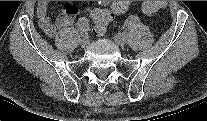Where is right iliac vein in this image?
<instances>
[{
    "instance_id": "right-iliac-vein-1",
    "label": "right iliac vein",
    "mask_w": 207,
    "mask_h": 121,
    "mask_svg": "<svg viewBox=\"0 0 207 121\" xmlns=\"http://www.w3.org/2000/svg\"><path fill=\"white\" fill-rule=\"evenodd\" d=\"M89 44V39L86 35L83 36V38L80 40L81 47L85 48Z\"/></svg>"
}]
</instances>
